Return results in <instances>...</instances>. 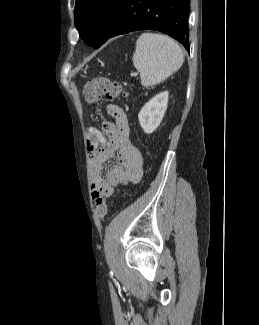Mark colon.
Returning <instances> with one entry per match:
<instances>
[{"instance_id":"5ec220e1","label":"colon","mask_w":259,"mask_h":325,"mask_svg":"<svg viewBox=\"0 0 259 325\" xmlns=\"http://www.w3.org/2000/svg\"><path fill=\"white\" fill-rule=\"evenodd\" d=\"M85 99L90 103H95L102 98L118 99L126 96V91L123 86L108 77H95L88 80L83 89ZM97 131L96 125H89L86 141L87 149H100V135H94ZM108 203L103 197L97 199L96 211L100 219H104L108 214Z\"/></svg>"}]
</instances>
